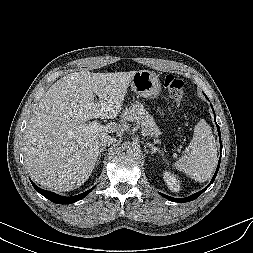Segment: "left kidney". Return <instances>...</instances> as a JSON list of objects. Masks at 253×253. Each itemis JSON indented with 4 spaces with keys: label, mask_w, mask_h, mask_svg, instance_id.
Instances as JSON below:
<instances>
[{
    "label": "left kidney",
    "mask_w": 253,
    "mask_h": 253,
    "mask_svg": "<svg viewBox=\"0 0 253 253\" xmlns=\"http://www.w3.org/2000/svg\"><path fill=\"white\" fill-rule=\"evenodd\" d=\"M163 179L166 182L168 188L173 192H178L180 189V183L178 178L175 175L171 174L168 171L163 173Z\"/></svg>",
    "instance_id": "5707ae66"
}]
</instances>
